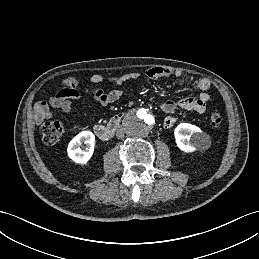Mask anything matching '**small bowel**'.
<instances>
[{"label": "small bowel", "mask_w": 259, "mask_h": 259, "mask_svg": "<svg viewBox=\"0 0 259 259\" xmlns=\"http://www.w3.org/2000/svg\"><path fill=\"white\" fill-rule=\"evenodd\" d=\"M146 77L149 79H162L168 77H190L191 75L182 70H175L163 67L150 68L145 73ZM141 75L137 72H129L122 75H111L104 76L102 74H94L88 78L85 83L90 86L85 87L82 91L74 90L70 94H64L62 90L56 91L49 99L46 101H39L34 107V117L37 124L42 123L46 119L53 117V110L58 109L64 113H71L72 105L75 100H78L82 94H89L94 97V99L103 106H107L115 101H117L122 92L120 90H112L105 92L104 90L98 88L96 85L107 81L114 85H122L126 82L136 80ZM196 85L201 90L198 97H185L179 100H167L162 103L161 109L168 116L163 121V126L167 129L173 127L176 122V118L172 115L177 108H182L188 111H192L198 114H203L206 111L207 103L210 100V95L208 90L210 89L211 83L205 77H199L196 79Z\"/></svg>", "instance_id": "c3829d8e"}]
</instances>
